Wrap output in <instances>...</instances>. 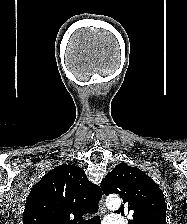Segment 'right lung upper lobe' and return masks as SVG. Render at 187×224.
<instances>
[{
  "label": "right lung upper lobe",
  "instance_id": "right-lung-upper-lobe-1",
  "mask_svg": "<svg viewBox=\"0 0 187 224\" xmlns=\"http://www.w3.org/2000/svg\"><path fill=\"white\" fill-rule=\"evenodd\" d=\"M101 194L100 187L92 184L81 168L62 164L32 188L23 224H83L84 214L98 210Z\"/></svg>",
  "mask_w": 187,
  "mask_h": 224
}]
</instances>
